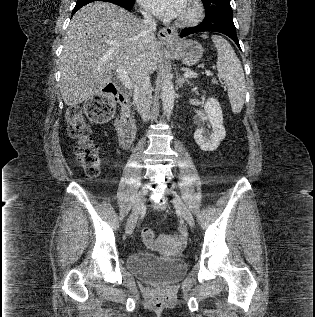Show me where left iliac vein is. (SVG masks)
Here are the masks:
<instances>
[{"instance_id":"obj_1","label":"left iliac vein","mask_w":315,"mask_h":317,"mask_svg":"<svg viewBox=\"0 0 315 317\" xmlns=\"http://www.w3.org/2000/svg\"><path fill=\"white\" fill-rule=\"evenodd\" d=\"M166 194L172 196V203L174 207L180 212L183 219L190 227H194V218L190 210L186 207L181 197L171 189H166Z\"/></svg>"}]
</instances>
